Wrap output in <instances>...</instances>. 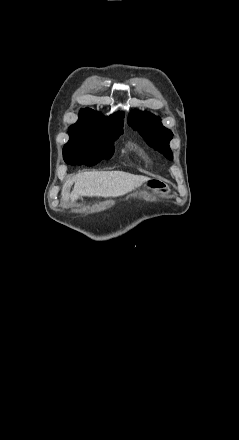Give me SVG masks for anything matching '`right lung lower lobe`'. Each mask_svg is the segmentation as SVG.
<instances>
[{
  "instance_id": "98d812e1",
  "label": "right lung lower lobe",
  "mask_w": 239,
  "mask_h": 440,
  "mask_svg": "<svg viewBox=\"0 0 239 440\" xmlns=\"http://www.w3.org/2000/svg\"><path fill=\"white\" fill-rule=\"evenodd\" d=\"M113 152L101 151L93 147H78L63 151V157L65 162L70 165L93 166L103 159L111 158Z\"/></svg>"
}]
</instances>
